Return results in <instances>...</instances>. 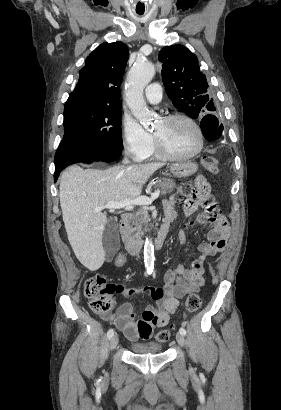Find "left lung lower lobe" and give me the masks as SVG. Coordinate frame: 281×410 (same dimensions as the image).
Instances as JSON below:
<instances>
[{"instance_id": "1", "label": "left lung lower lobe", "mask_w": 281, "mask_h": 410, "mask_svg": "<svg viewBox=\"0 0 281 410\" xmlns=\"http://www.w3.org/2000/svg\"><path fill=\"white\" fill-rule=\"evenodd\" d=\"M201 129L208 141L218 139L223 131V125L219 124L214 115H205L201 120Z\"/></svg>"}]
</instances>
